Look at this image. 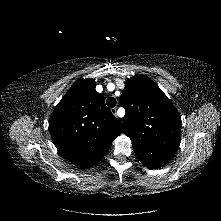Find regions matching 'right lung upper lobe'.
<instances>
[{
    "label": "right lung upper lobe",
    "instance_id": "cb5924a9",
    "mask_svg": "<svg viewBox=\"0 0 221 221\" xmlns=\"http://www.w3.org/2000/svg\"><path fill=\"white\" fill-rule=\"evenodd\" d=\"M95 86L92 79L76 81L49 120L50 134L59 152L83 168L102 159L122 131L121 122L106 107L105 97Z\"/></svg>",
    "mask_w": 221,
    "mask_h": 221
}]
</instances>
